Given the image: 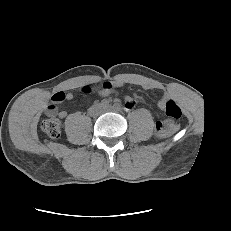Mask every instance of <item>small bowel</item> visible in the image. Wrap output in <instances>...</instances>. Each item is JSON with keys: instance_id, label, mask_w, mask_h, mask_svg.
I'll use <instances>...</instances> for the list:
<instances>
[{"instance_id": "c3829d8e", "label": "small bowel", "mask_w": 231, "mask_h": 231, "mask_svg": "<svg viewBox=\"0 0 231 231\" xmlns=\"http://www.w3.org/2000/svg\"><path fill=\"white\" fill-rule=\"evenodd\" d=\"M124 84H125L124 81H118V82H115V83H109V88H104V89L102 90V94H103V95H107V94L112 90V88H114V87H119V86H122V85H124ZM148 89H151V88L148 87ZM56 95L59 97V100H56V101H55L54 112H56L57 115H58L60 118H64V117L67 115L66 111H64V110H56V103L61 102V101H64V100H68V101H69V100H72L74 96H73V94L70 93V92H58V93H56L54 96H56ZM163 102H164V101H162V102L160 103V106L163 105ZM134 104H135V102H134V100L131 99V98H128V99L126 100V103H125L126 108H128V109L133 108Z\"/></svg>"}]
</instances>
